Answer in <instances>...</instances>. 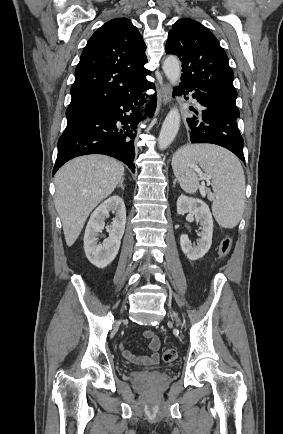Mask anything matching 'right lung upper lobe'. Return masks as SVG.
I'll use <instances>...</instances> for the list:
<instances>
[{"label":"right lung upper lobe","mask_w":283,"mask_h":434,"mask_svg":"<svg viewBox=\"0 0 283 434\" xmlns=\"http://www.w3.org/2000/svg\"><path fill=\"white\" fill-rule=\"evenodd\" d=\"M146 45L129 19L105 23L89 39L75 70L71 102L66 116L71 118L99 108L133 90L150 73Z\"/></svg>","instance_id":"obj_1"}]
</instances>
